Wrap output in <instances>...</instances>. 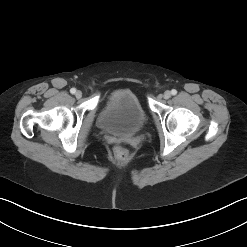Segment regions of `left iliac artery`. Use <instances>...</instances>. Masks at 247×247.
<instances>
[{"label":"left iliac artery","mask_w":247,"mask_h":247,"mask_svg":"<svg viewBox=\"0 0 247 247\" xmlns=\"http://www.w3.org/2000/svg\"><path fill=\"white\" fill-rule=\"evenodd\" d=\"M171 94H172V95H176V94H177V91H176L175 89H172V90H171Z\"/></svg>","instance_id":"obj_1"}]
</instances>
